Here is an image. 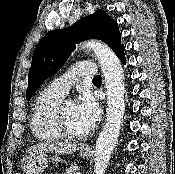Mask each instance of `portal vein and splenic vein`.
I'll use <instances>...</instances> for the list:
<instances>
[{"instance_id": "18ae733b", "label": "portal vein and splenic vein", "mask_w": 175, "mask_h": 174, "mask_svg": "<svg viewBox=\"0 0 175 174\" xmlns=\"http://www.w3.org/2000/svg\"><path fill=\"white\" fill-rule=\"evenodd\" d=\"M76 174H82L81 172H77Z\"/></svg>"}]
</instances>
